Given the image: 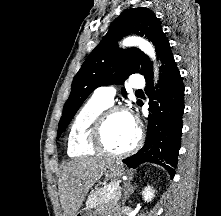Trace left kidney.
<instances>
[{
    "label": "left kidney",
    "mask_w": 221,
    "mask_h": 216,
    "mask_svg": "<svg viewBox=\"0 0 221 216\" xmlns=\"http://www.w3.org/2000/svg\"><path fill=\"white\" fill-rule=\"evenodd\" d=\"M155 190H153L152 187H150L149 185L147 187L144 188V190L142 191V197L144 199V201H151L153 199Z\"/></svg>",
    "instance_id": "obj_1"
}]
</instances>
